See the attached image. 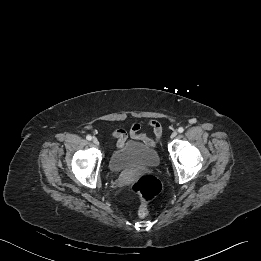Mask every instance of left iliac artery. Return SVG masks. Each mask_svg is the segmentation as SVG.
Here are the masks:
<instances>
[{
    "label": "left iliac artery",
    "mask_w": 261,
    "mask_h": 261,
    "mask_svg": "<svg viewBox=\"0 0 261 261\" xmlns=\"http://www.w3.org/2000/svg\"><path fill=\"white\" fill-rule=\"evenodd\" d=\"M183 131H184V128H183V127H179V128H178V132H179V133H182Z\"/></svg>",
    "instance_id": "1"
}]
</instances>
